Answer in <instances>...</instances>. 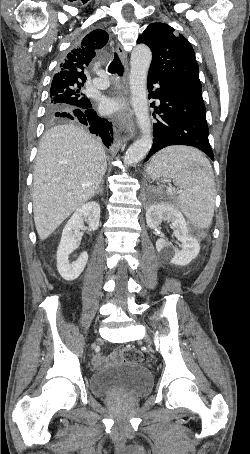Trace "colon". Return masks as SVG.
<instances>
[{"label":"colon","instance_id":"1","mask_svg":"<svg viewBox=\"0 0 250 454\" xmlns=\"http://www.w3.org/2000/svg\"><path fill=\"white\" fill-rule=\"evenodd\" d=\"M124 362L141 363L143 361L142 353L135 347H127L118 353Z\"/></svg>","mask_w":250,"mask_h":454}]
</instances>
